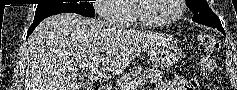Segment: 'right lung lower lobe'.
<instances>
[{
    "mask_svg": "<svg viewBox=\"0 0 237 90\" xmlns=\"http://www.w3.org/2000/svg\"><path fill=\"white\" fill-rule=\"evenodd\" d=\"M77 14H80V15H83V16H86V17H94V15L92 14H88V13H82V12H75ZM43 19L41 20H36L32 23V25L29 27L28 29V32H27V37L34 31V29L37 27V25L42 21Z\"/></svg>",
    "mask_w": 237,
    "mask_h": 90,
    "instance_id": "98d812e1",
    "label": "right lung lower lobe"
}]
</instances>
